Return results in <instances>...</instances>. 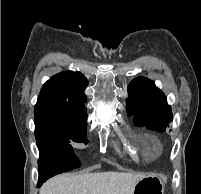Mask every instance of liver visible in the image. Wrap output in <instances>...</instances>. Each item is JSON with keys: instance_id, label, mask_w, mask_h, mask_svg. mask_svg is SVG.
Instances as JSON below:
<instances>
[{"instance_id": "obj_1", "label": "liver", "mask_w": 201, "mask_h": 194, "mask_svg": "<svg viewBox=\"0 0 201 194\" xmlns=\"http://www.w3.org/2000/svg\"><path fill=\"white\" fill-rule=\"evenodd\" d=\"M141 173L95 172L61 174L49 179L39 194H132Z\"/></svg>"}]
</instances>
